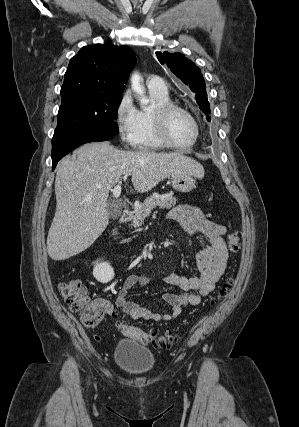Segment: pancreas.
I'll use <instances>...</instances> for the list:
<instances>
[{
	"mask_svg": "<svg viewBox=\"0 0 299 427\" xmlns=\"http://www.w3.org/2000/svg\"><path fill=\"white\" fill-rule=\"evenodd\" d=\"M176 202L177 200L173 197V194H153L152 196L146 198L143 203H141L137 208L134 209V216L131 222V227L136 229L141 226L145 218L157 206L161 209H170L171 207L176 205Z\"/></svg>",
	"mask_w": 299,
	"mask_h": 427,
	"instance_id": "1",
	"label": "pancreas"
}]
</instances>
